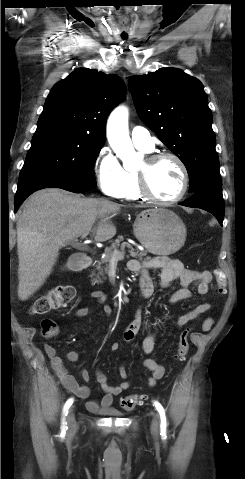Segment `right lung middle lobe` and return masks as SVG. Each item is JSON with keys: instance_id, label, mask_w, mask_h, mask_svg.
Returning a JSON list of instances; mask_svg holds the SVG:
<instances>
[{"instance_id": "dd1d6c3e", "label": "right lung middle lobe", "mask_w": 245, "mask_h": 479, "mask_svg": "<svg viewBox=\"0 0 245 479\" xmlns=\"http://www.w3.org/2000/svg\"><path fill=\"white\" fill-rule=\"evenodd\" d=\"M103 143L85 134L65 130L37 129L18 182L55 175L96 186L94 164Z\"/></svg>"}]
</instances>
